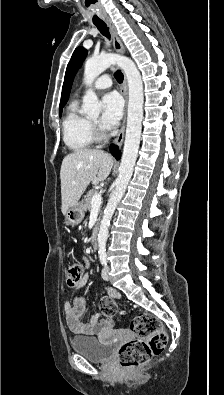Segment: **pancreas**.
Returning <instances> with one entry per match:
<instances>
[{
    "label": "pancreas",
    "mask_w": 224,
    "mask_h": 395,
    "mask_svg": "<svg viewBox=\"0 0 224 395\" xmlns=\"http://www.w3.org/2000/svg\"><path fill=\"white\" fill-rule=\"evenodd\" d=\"M98 194V191L95 189H91L87 195L85 196V209L90 210L92 207V198L94 195Z\"/></svg>",
    "instance_id": "obj_1"
}]
</instances>
